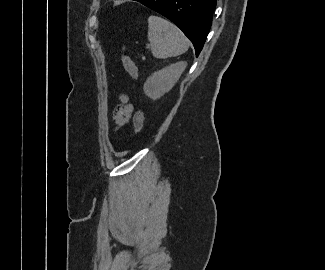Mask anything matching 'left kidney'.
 Returning <instances> with one entry per match:
<instances>
[{"instance_id": "obj_1", "label": "left kidney", "mask_w": 325, "mask_h": 270, "mask_svg": "<svg viewBox=\"0 0 325 270\" xmlns=\"http://www.w3.org/2000/svg\"><path fill=\"white\" fill-rule=\"evenodd\" d=\"M186 66V62H178L154 72L144 84V93L153 100L159 99L173 88Z\"/></svg>"}]
</instances>
